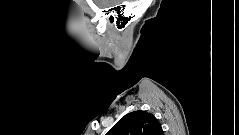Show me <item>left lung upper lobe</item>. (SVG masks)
<instances>
[{
  "label": "left lung upper lobe",
  "instance_id": "left-lung-upper-lobe-1",
  "mask_svg": "<svg viewBox=\"0 0 239 135\" xmlns=\"http://www.w3.org/2000/svg\"><path fill=\"white\" fill-rule=\"evenodd\" d=\"M107 135H163V130L152 114L138 110L123 116Z\"/></svg>",
  "mask_w": 239,
  "mask_h": 135
}]
</instances>
